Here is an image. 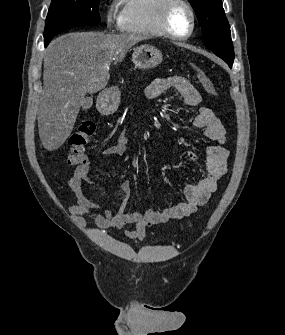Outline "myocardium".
I'll return each instance as SVG.
<instances>
[{"instance_id": "f54148a6", "label": "myocardium", "mask_w": 285, "mask_h": 335, "mask_svg": "<svg viewBox=\"0 0 285 335\" xmlns=\"http://www.w3.org/2000/svg\"><path fill=\"white\" fill-rule=\"evenodd\" d=\"M177 6L182 7L190 16V25L186 33L177 31L172 23V14ZM161 24L165 33L172 38L182 39L188 37L194 27V15L191 7L186 1H166L161 12Z\"/></svg>"}]
</instances>
